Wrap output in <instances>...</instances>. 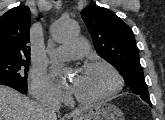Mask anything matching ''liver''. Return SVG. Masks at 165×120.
Here are the masks:
<instances>
[{
    "instance_id": "liver-1",
    "label": "liver",
    "mask_w": 165,
    "mask_h": 120,
    "mask_svg": "<svg viewBox=\"0 0 165 120\" xmlns=\"http://www.w3.org/2000/svg\"><path fill=\"white\" fill-rule=\"evenodd\" d=\"M82 109L75 111L77 116ZM0 120H42L41 104L0 85Z\"/></svg>"
}]
</instances>
